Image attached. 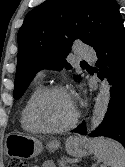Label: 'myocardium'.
<instances>
[{
	"instance_id": "1",
	"label": "myocardium",
	"mask_w": 125,
	"mask_h": 167,
	"mask_svg": "<svg viewBox=\"0 0 125 167\" xmlns=\"http://www.w3.org/2000/svg\"><path fill=\"white\" fill-rule=\"evenodd\" d=\"M56 92H64V93H68L69 94V90L66 86L63 85H51L48 86L46 88H44L34 99L31 107H30V112H29V116H30V120L33 124V126L35 127V129L39 132L42 133H48V134H55V133H62V132H66L70 129H72L76 123L78 122L79 119V110L75 104V112H74V116L73 118L64 126L58 127V128H48L43 126L37 119V111L38 108L40 106V104L42 103V101L48 97L49 95L56 93Z\"/></svg>"
}]
</instances>
